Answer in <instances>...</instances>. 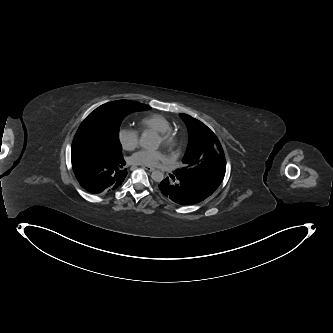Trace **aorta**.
<instances>
[{
	"mask_svg": "<svg viewBox=\"0 0 333 333\" xmlns=\"http://www.w3.org/2000/svg\"><path fill=\"white\" fill-rule=\"evenodd\" d=\"M139 144L144 149L156 150L160 145V138L154 132H145L140 137ZM151 178L155 182H161L164 179V173L162 171L155 170L152 172Z\"/></svg>",
	"mask_w": 333,
	"mask_h": 333,
	"instance_id": "762f6f07",
	"label": "aorta"
}]
</instances>
